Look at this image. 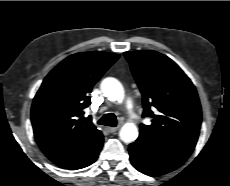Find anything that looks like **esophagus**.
Listing matches in <instances>:
<instances>
[{
	"mask_svg": "<svg viewBox=\"0 0 230 186\" xmlns=\"http://www.w3.org/2000/svg\"><path fill=\"white\" fill-rule=\"evenodd\" d=\"M120 129V126H117V127H108L107 130L110 132V133H115L116 131H118Z\"/></svg>",
	"mask_w": 230,
	"mask_h": 186,
	"instance_id": "obj_1",
	"label": "esophagus"
}]
</instances>
